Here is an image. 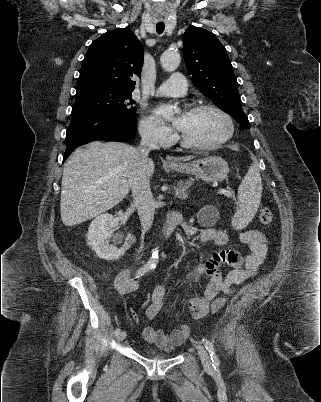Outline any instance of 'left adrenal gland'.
Here are the masks:
<instances>
[{"label":"left adrenal gland","mask_w":321,"mask_h":402,"mask_svg":"<svg viewBox=\"0 0 321 402\" xmlns=\"http://www.w3.org/2000/svg\"><path fill=\"white\" fill-rule=\"evenodd\" d=\"M190 185L183 184V181H180L175 187V196H178L181 200H186L188 198L187 190Z\"/></svg>","instance_id":"a2214340"}]
</instances>
